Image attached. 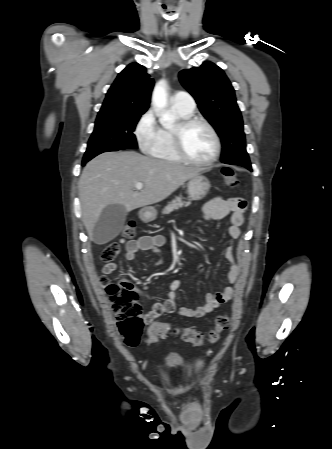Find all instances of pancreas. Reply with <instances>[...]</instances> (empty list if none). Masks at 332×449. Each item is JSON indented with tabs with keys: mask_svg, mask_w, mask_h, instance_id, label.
I'll return each mask as SVG.
<instances>
[{
	"mask_svg": "<svg viewBox=\"0 0 332 449\" xmlns=\"http://www.w3.org/2000/svg\"><path fill=\"white\" fill-rule=\"evenodd\" d=\"M190 205V202H184L181 198H175L171 202L167 204V206L163 210V214H170L174 210H177L182 207H187Z\"/></svg>",
	"mask_w": 332,
	"mask_h": 449,
	"instance_id": "obj_1",
	"label": "pancreas"
}]
</instances>
